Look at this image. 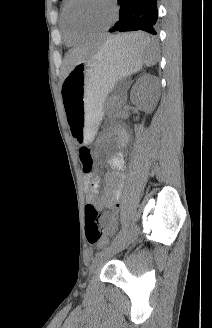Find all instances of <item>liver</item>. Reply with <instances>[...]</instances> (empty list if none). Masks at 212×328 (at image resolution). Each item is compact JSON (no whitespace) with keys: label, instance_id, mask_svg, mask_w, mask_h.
<instances>
[{"label":"liver","instance_id":"liver-1","mask_svg":"<svg viewBox=\"0 0 212 328\" xmlns=\"http://www.w3.org/2000/svg\"><path fill=\"white\" fill-rule=\"evenodd\" d=\"M94 54L95 50L88 47H77L69 50L64 60L65 76H67V74L73 69L74 66H76L80 62L88 60Z\"/></svg>","mask_w":212,"mask_h":328}]
</instances>
